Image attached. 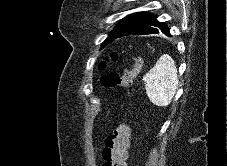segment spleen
Listing matches in <instances>:
<instances>
[{"label":"spleen","mask_w":227,"mask_h":166,"mask_svg":"<svg viewBox=\"0 0 227 166\" xmlns=\"http://www.w3.org/2000/svg\"><path fill=\"white\" fill-rule=\"evenodd\" d=\"M146 94L156 106H168L177 90L178 75L174 60L163 54L143 77Z\"/></svg>","instance_id":"3e777b00"}]
</instances>
